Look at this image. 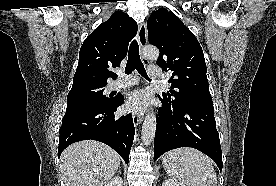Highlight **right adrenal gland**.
<instances>
[{
  "instance_id": "2a0ac1e0",
  "label": "right adrenal gland",
  "mask_w": 276,
  "mask_h": 186,
  "mask_svg": "<svg viewBox=\"0 0 276 186\" xmlns=\"http://www.w3.org/2000/svg\"><path fill=\"white\" fill-rule=\"evenodd\" d=\"M118 173L121 174V168L119 167Z\"/></svg>"
}]
</instances>
